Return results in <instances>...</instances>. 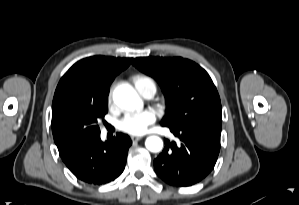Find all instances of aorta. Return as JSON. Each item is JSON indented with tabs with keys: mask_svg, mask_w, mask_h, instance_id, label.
I'll return each mask as SVG.
<instances>
[{
	"mask_svg": "<svg viewBox=\"0 0 299 205\" xmlns=\"http://www.w3.org/2000/svg\"><path fill=\"white\" fill-rule=\"evenodd\" d=\"M113 100L117 106L126 110L139 109L143 102L136 91L127 84L120 85L113 92ZM146 148L151 152H159L163 148V141L158 136H150L145 141Z\"/></svg>",
	"mask_w": 299,
	"mask_h": 205,
	"instance_id": "aorta-1",
	"label": "aorta"
}]
</instances>
